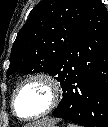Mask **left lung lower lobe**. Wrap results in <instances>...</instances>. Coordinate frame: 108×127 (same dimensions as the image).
I'll use <instances>...</instances> for the list:
<instances>
[{"label": "left lung lower lobe", "mask_w": 108, "mask_h": 127, "mask_svg": "<svg viewBox=\"0 0 108 127\" xmlns=\"http://www.w3.org/2000/svg\"><path fill=\"white\" fill-rule=\"evenodd\" d=\"M63 72V99L52 114L108 127V12L100 0H89Z\"/></svg>", "instance_id": "left-lung-lower-lobe-1"}]
</instances>
